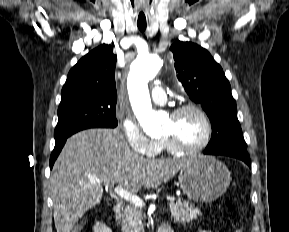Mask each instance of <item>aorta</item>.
<instances>
[{"instance_id": "762f6f07", "label": "aorta", "mask_w": 289, "mask_h": 232, "mask_svg": "<svg viewBox=\"0 0 289 232\" xmlns=\"http://www.w3.org/2000/svg\"><path fill=\"white\" fill-rule=\"evenodd\" d=\"M163 61L156 55L139 56L132 63L128 76V92L133 111L149 136L162 132V117L152 110L148 90V81L155 78L161 69Z\"/></svg>"}]
</instances>
